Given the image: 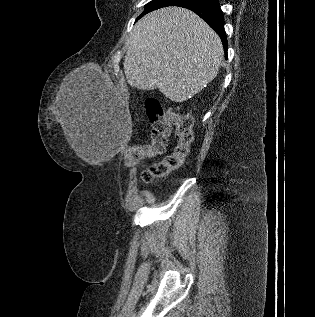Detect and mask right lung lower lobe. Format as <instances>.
<instances>
[{
	"mask_svg": "<svg viewBox=\"0 0 315 317\" xmlns=\"http://www.w3.org/2000/svg\"><path fill=\"white\" fill-rule=\"evenodd\" d=\"M173 6L190 9L206 21L220 36L227 58V38L224 31L223 13L218 0H179Z\"/></svg>",
	"mask_w": 315,
	"mask_h": 317,
	"instance_id": "right-lung-lower-lobe-1",
	"label": "right lung lower lobe"
}]
</instances>
